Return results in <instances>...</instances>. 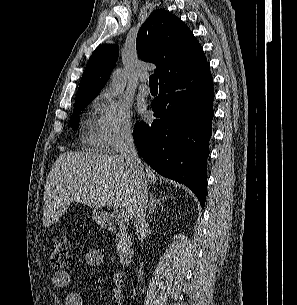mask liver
Returning a JSON list of instances; mask_svg holds the SVG:
<instances>
[{
	"mask_svg": "<svg viewBox=\"0 0 297 305\" xmlns=\"http://www.w3.org/2000/svg\"><path fill=\"white\" fill-rule=\"evenodd\" d=\"M145 175V174H144ZM150 184L158 180L146 167ZM135 182L121 155L64 152L54 162L45 186L43 225L56 223L72 202L92 208L123 207L133 216Z\"/></svg>",
	"mask_w": 297,
	"mask_h": 305,
	"instance_id": "obj_1",
	"label": "liver"
}]
</instances>
